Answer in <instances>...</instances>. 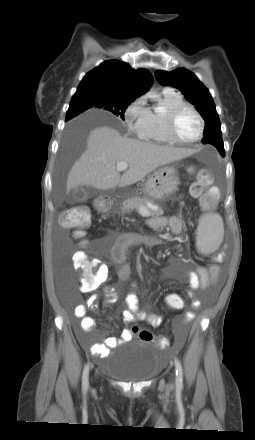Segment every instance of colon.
<instances>
[{"label": "colon", "instance_id": "obj_1", "mask_svg": "<svg viewBox=\"0 0 255 440\" xmlns=\"http://www.w3.org/2000/svg\"><path fill=\"white\" fill-rule=\"evenodd\" d=\"M212 174L208 169H200L197 173L196 181L191 185L190 192L193 197L200 198L207 209L214 207L217 193L210 189ZM91 221V211L85 205L71 207L62 212L59 218L60 225L64 228L73 230L79 234L83 233ZM74 268L82 273L80 287L85 290H92L96 286L98 267L94 260L90 259L83 251L76 252L73 256ZM185 298H163L162 303L168 307L169 311H185ZM132 332L138 334L144 342H153L154 345L168 350L170 340L165 334H158L157 337L149 330L141 329L138 326L132 328Z\"/></svg>", "mask_w": 255, "mask_h": 440}]
</instances>
